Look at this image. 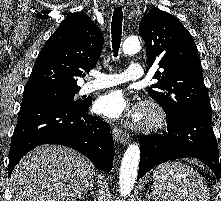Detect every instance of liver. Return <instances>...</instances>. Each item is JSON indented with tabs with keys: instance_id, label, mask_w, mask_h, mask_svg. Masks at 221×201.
I'll return each mask as SVG.
<instances>
[{
	"instance_id": "6515ba94",
	"label": "liver",
	"mask_w": 221,
	"mask_h": 201,
	"mask_svg": "<svg viewBox=\"0 0 221 201\" xmlns=\"http://www.w3.org/2000/svg\"><path fill=\"white\" fill-rule=\"evenodd\" d=\"M94 174L93 164L75 150L41 145L14 168L13 201H76L88 192Z\"/></svg>"
}]
</instances>
